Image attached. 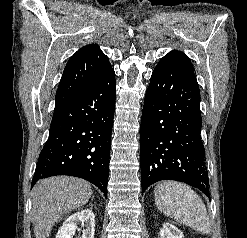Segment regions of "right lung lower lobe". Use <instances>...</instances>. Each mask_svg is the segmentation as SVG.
Returning a JSON list of instances; mask_svg holds the SVG:
<instances>
[{
    "instance_id": "obj_1",
    "label": "right lung lower lobe",
    "mask_w": 247,
    "mask_h": 238,
    "mask_svg": "<svg viewBox=\"0 0 247 238\" xmlns=\"http://www.w3.org/2000/svg\"><path fill=\"white\" fill-rule=\"evenodd\" d=\"M115 97V72L111 69L86 90L55 107L32 186L50 176H76L96 185L107 198Z\"/></svg>"
}]
</instances>
